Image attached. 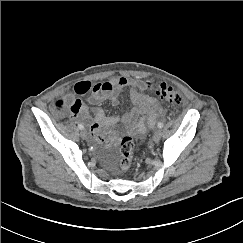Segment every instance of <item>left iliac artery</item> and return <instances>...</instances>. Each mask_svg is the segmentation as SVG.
Returning a JSON list of instances; mask_svg holds the SVG:
<instances>
[{
    "label": "left iliac artery",
    "instance_id": "left-iliac-artery-1",
    "mask_svg": "<svg viewBox=\"0 0 243 243\" xmlns=\"http://www.w3.org/2000/svg\"><path fill=\"white\" fill-rule=\"evenodd\" d=\"M163 123H161V122H159L158 124H157V127L159 128V129H161V128H163Z\"/></svg>",
    "mask_w": 243,
    "mask_h": 243
}]
</instances>
